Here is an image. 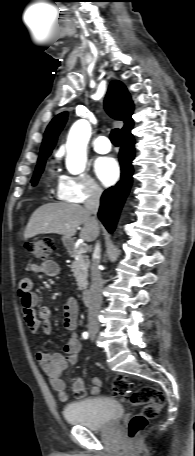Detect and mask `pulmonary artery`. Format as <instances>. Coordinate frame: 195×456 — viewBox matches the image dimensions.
<instances>
[{"instance_id":"1","label":"pulmonary artery","mask_w":195,"mask_h":456,"mask_svg":"<svg viewBox=\"0 0 195 456\" xmlns=\"http://www.w3.org/2000/svg\"><path fill=\"white\" fill-rule=\"evenodd\" d=\"M93 149L99 154H106L111 150V143L106 136H99L93 142Z\"/></svg>"}]
</instances>
